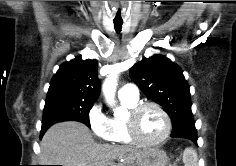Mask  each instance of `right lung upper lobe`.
I'll list each match as a JSON object with an SVG mask.
<instances>
[{
	"label": "right lung upper lobe",
	"instance_id": "right-lung-upper-lobe-1",
	"mask_svg": "<svg viewBox=\"0 0 236 166\" xmlns=\"http://www.w3.org/2000/svg\"><path fill=\"white\" fill-rule=\"evenodd\" d=\"M97 60L75 58L63 63L54 75L47 98L66 97L95 102L100 93Z\"/></svg>",
	"mask_w": 236,
	"mask_h": 166
}]
</instances>
